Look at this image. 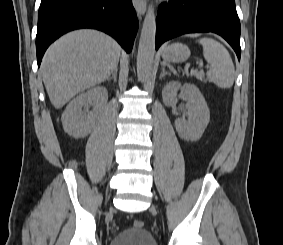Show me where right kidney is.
Here are the masks:
<instances>
[{"label":"right kidney","instance_id":"right-kidney-1","mask_svg":"<svg viewBox=\"0 0 283 245\" xmlns=\"http://www.w3.org/2000/svg\"><path fill=\"white\" fill-rule=\"evenodd\" d=\"M108 100L105 87H94L74 98L62 114L64 131L74 138L87 136ZM90 107H92L91 110Z\"/></svg>","mask_w":283,"mask_h":245}]
</instances>
